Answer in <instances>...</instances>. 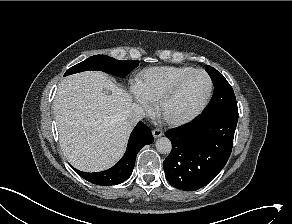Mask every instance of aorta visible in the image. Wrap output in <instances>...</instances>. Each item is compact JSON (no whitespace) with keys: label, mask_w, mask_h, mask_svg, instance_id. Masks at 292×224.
<instances>
[{"label":"aorta","mask_w":292,"mask_h":224,"mask_svg":"<svg viewBox=\"0 0 292 224\" xmlns=\"http://www.w3.org/2000/svg\"><path fill=\"white\" fill-rule=\"evenodd\" d=\"M155 146L157 151L162 154H168L172 150V143L167 137L157 139Z\"/></svg>","instance_id":"aorta-1"}]
</instances>
